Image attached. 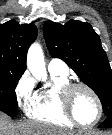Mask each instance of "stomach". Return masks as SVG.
<instances>
[{"instance_id":"obj_1","label":"stomach","mask_w":112,"mask_h":135,"mask_svg":"<svg viewBox=\"0 0 112 135\" xmlns=\"http://www.w3.org/2000/svg\"><path fill=\"white\" fill-rule=\"evenodd\" d=\"M77 135H99L95 132H79Z\"/></svg>"}]
</instances>
